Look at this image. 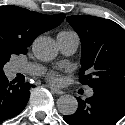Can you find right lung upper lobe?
Segmentation results:
<instances>
[{"label":"right lung upper lobe","instance_id":"right-lung-upper-lobe-1","mask_svg":"<svg viewBox=\"0 0 125 125\" xmlns=\"http://www.w3.org/2000/svg\"><path fill=\"white\" fill-rule=\"evenodd\" d=\"M65 14L44 15L17 6H0V59L27 53L42 33L60 25Z\"/></svg>","mask_w":125,"mask_h":125}]
</instances>
